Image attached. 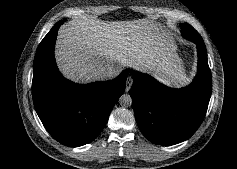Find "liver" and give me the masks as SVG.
<instances>
[{
  "mask_svg": "<svg viewBox=\"0 0 237 169\" xmlns=\"http://www.w3.org/2000/svg\"><path fill=\"white\" fill-rule=\"evenodd\" d=\"M164 35L155 26L117 22L78 20L59 32L57 59L63 73L75 82L100 78L109 67L156 69L163 64Z\"/></svg>",
  "mask_w": 237,
  "mask_h": 169,
  "instance_id": "obj_1",
  "label": "liver"
}]
</instances>
